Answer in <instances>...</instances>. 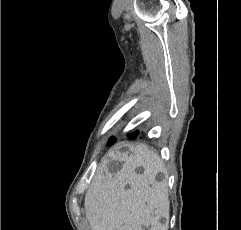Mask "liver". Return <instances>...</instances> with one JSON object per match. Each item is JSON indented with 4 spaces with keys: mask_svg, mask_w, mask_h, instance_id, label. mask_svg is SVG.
<instances>
[{
    "mask_svg": "<svg viewBox=\"0 0 241 230\" xmlns=\"http://www.w3.org/2000/svg\"><path fill=\"white\" fill-rule=\"evenodd\" d=\"M130 153L109 151L103 166L111 160L122 163L117 174L105 169L85 195V215L91 230H168L169 200L166 181L156 175L165 167L158 154L145 146H130ZM143 167L141 174L137 167ZM129 185V188L126 186Z\"/></svg>",
    "mask_w": 241,
    "mask_h": 230,
    "instance_id": "liver-1",
    "label": "liver"
}]
</instances>
